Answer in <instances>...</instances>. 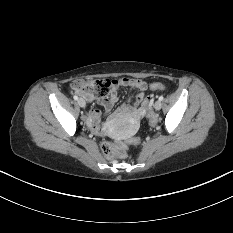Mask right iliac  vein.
Returning a JSON list of instances; mask_svg holds the SVG:
<instances>
[{"mask_svg":"<svg viewBox=\"0 0 233 233\" xmlns=\"http://www.w3.org/2000/svg\"><path fill=\"white\" fill-rule=\"evenodd\" d=\"M78 104H79V106H81V107H85V106H86V102H85V100L82 99V98H80V99L78 100Z\"/></svg>","mask_w":233,"mask_h":233,"instance_id":"obj_1","label":"right iliac vein"}]
</instances>
